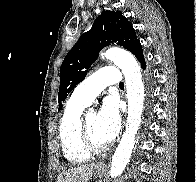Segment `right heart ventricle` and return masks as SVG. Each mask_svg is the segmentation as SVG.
I'll return each instance as SVG.
<instances>
[{
	"label": "right heart ventricle",
	"instance_id": "e07e8e85",
	"mask_svg": "<svg viewBox=\"0 0 196 182\" xmlns=\"http://www.w3.org/2000/svg\"><path fill=\"white\" fill-rule=\"evenodd\" d=\"M86 104L70 98L60 118L58 136L65 158L72 164L87 161L90 154L80 145L78 138V123Z\"/></svg>",
	"mask_w": 196,
	"mask_h": 182
}]
</instances>
